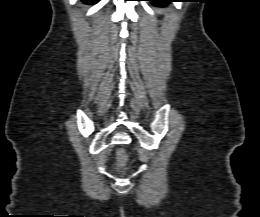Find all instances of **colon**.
<instances>
[{
  "label": "colon",
  "mask_w": 260,
  "mask_h": 217,
  "mask_svg": "<svg viewBox=\"0 0 260 217\" xmlns=\"http://www.w3.org/2000/svg\"><path fill=\"white\" fill-rule=\"evenodd\" d=\"M118 167L116 172L118 174H122L126 170V165H127V154L125 149L120 148L118 150Z\"/></svg>",
  "instance_id": "1"
}]
</instances>
